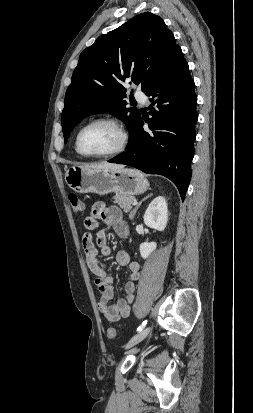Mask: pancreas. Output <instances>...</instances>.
Wrapping results in <instances>:
<instances>
[{
	"label": "pancreas",
	"mask_w": 253,
	"mask_h": 413,
	"mask_svg": "<svg viewBox=\"0 0 253 413\" xmlns=\"http://www.w3.org/2000/svg\"><path fill=\"white\" fill-rule=\"evenodd\" d=\"M113 199L114 203L118 204L126 213L131 210L132 203L135 200L133 196L124 194H116Z\"/></svg>",
	"instance_id": "pancreas-1"
}]
</instances>
